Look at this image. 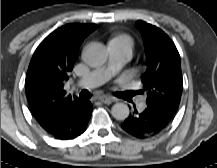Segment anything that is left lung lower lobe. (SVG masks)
<instances>
[{
  "instance_id": "1",
  "label": "left lung lower lobe",
  "mask_w": 217,
  "mask_h": 168,
  "mask_svg": "<svg viewBox=\"0 0 217 168\" xmlns=\"http://www.w3.org/2000/svg\"><path fill=\"white\" fill-rule=\"evenodd\" d=\"M127 118L121 125L124 131L137 138H147L163 131L172 121L174 114L167 109L147 104L146 109Z\"/></svg>"
}]
</instances>
